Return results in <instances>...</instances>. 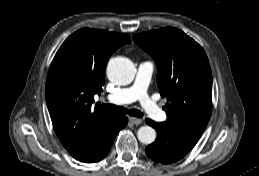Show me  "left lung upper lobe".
Returning a JSON list of instances; mask_svg holds the SVG:
<instances>
[{
  "instance_id": "5c2ea615",
  "label": "left lung upper lobe",
  "mask_w": 259,
  "mask_h": 176,
  "mask_svg": "<svg viewBox=\"0 0 259 176\" xmlns=\"http://www.w3.org/2000/svg\"><path fill=\"white\" fill-rule=\"evenodd\" d=\"M157 64V85L167 97V120L172 131L199 139L212 110V73L202 47L173 27L133 36Z\"/></svg>"
}]
</instances>
